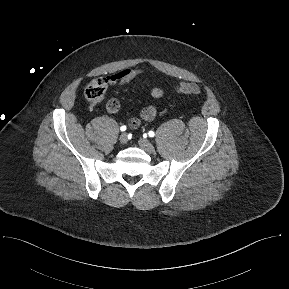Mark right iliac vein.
<instances>
[{
    "instance_id": "1",
    "label": "right iliac vein",
    "mask_w": 289,
    "mask_h": 289,
    "mask_svg": "<svg viewBox=\"0 0 289 289\" xmlns=\"http://www.w3.org/2000/svg\"><path fill=\"white\" fill-rule=\"evenodd\" d=\"M119 141L121 144H126L128 141V137L126 133H122L119 137Z\"/></svg>"
}]
</instances>
